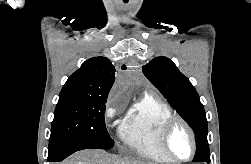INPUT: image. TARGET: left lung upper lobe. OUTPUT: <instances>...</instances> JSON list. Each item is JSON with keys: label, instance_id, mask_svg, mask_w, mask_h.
I'll use <instances>...</instances> for the list:
<instances>
[{"label": "left lung upper lobe", "instance_id": "obj_1", "mask_svg": "<svg viewBox=\"0 0 251 164\" xmlns=\"http://www.w3.org/2000/svg\"><path fill=\"white\" fill-rule=\"evenodd\" d=\"M144 75L191 125L196 135L197 151L193 162H210L207 120L195 88L166 57H156L142 67Z\"/></svg>", "mask_w": 251, "mask_h": 164}]
</instances>
